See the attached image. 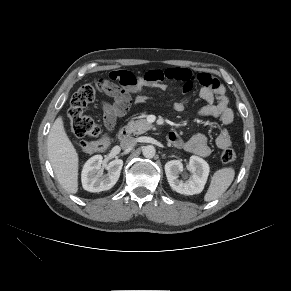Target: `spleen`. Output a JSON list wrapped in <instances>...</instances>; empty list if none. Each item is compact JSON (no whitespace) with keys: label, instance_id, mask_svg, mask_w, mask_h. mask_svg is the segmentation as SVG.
<instances>
[{"label":"spleen","instance_id":"spleen-1","mask_svg":"<svg viewBox=\"0 0 291 291\" xmlns=\"http://www.w3.org/2000/svg\"><path fill=\"white\" fill-rule=\"evenodd\" d=\"M235 176L232 167L217 170L212 176L210 186L204 196L206 202L219 198L231 185Z\"/></svg>","mask_w":291,"mask_h":291}]
</instances>
